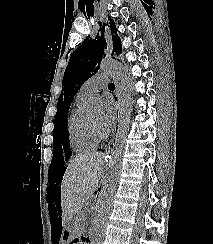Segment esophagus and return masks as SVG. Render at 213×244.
Here are the masks:
<instances>
[{
  "label": "esophagus",
  "instance_id": "34e87169",
  "mask_svg": "<svg viewBox=\"0 0 213 244\" xmlns=\"http://www.w3.org/2000/svg\"><path fill=\"white\" fill-rule=\"evenodd\" d=\"M119 118H120V111L118 109V111H116V125H115V129L119 127ZM113 146H114V138L108 144V147L105 150V156L108 157L109 159H110V153L112 152Z\"/></svg>",
  "mask_w": 213,
  "mask_h": 244
}]
</instances>
